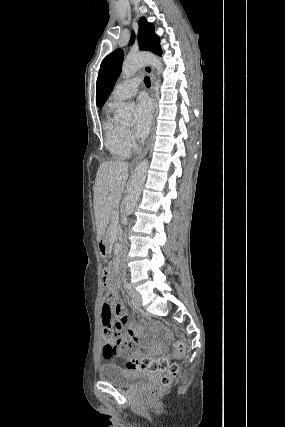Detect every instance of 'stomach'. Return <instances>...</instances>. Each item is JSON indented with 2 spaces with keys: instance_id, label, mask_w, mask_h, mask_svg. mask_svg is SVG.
<instances>
[{
  "instance_id": "obj_1",
  "label": "stomach",
  "mask_w": 285,
  "mask_h": 427,
  "mask_svg": "<svg viewBox=\"0 0 285 427\" xmlns=\"http://www.w3.org/2000/svg\"><path fill=\"white\" fill-rule=\"evenodd\" d=\"M98 250L102 256H107L110 253V245L107 235L100 236L98 243Z\"/></svg>"
}]
</instances>
